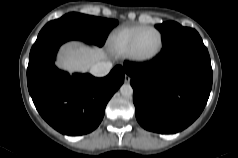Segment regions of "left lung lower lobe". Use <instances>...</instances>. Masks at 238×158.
Returning a JSON list of instances; mask_svg holds the SVG:
<instances>
[{
    "instance_id": "obj_1",
    "label": "left lung lower lobe",
    "mask_w": 238,
    "mask_h": 158,
    "mask_svg": "<svg viewBox=\"0 0 238 158\" xmlns=\"http://www.w3.org/2000/svg\"><path fill=\"white\" fill-rule=\"evenodd\" d=\"M136 118L146 130L170 134L193 123L212 88L207 48L198 33L165 47L151 62L124 63Z\"/></svg>"
}]
</instances>
